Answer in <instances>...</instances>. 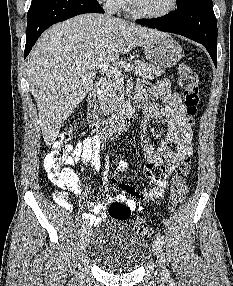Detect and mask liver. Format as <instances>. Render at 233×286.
<instances>
[{
  "mask_svg": "<svg viewBox=\"0 0 233 286\" xmlns=\"http://www.w3.org/2000/svg\"><path fill=\"white\" fill-rule=\"evenodd\" d=\"M164 35L95 13L73 17L45 31L27 57L26 72L46 145L56 141L63 122L93 84L96 73L94 68L82 69L85 63L116 62L120 54Z\"/></svg>",
  "mask_w": 233,
  "mask_h": 286,
  "instance_id": "6515ba94",
  "label": "liver"
}]
</instances>
